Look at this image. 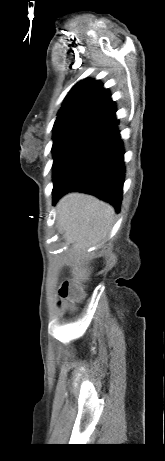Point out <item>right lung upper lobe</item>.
<instances>
[{
  "label": "right lung upper lobe",
  "instance_id": "1",
  "mask_svg": "<svg viewBox=\"0 0 165 461\" xmlns=\"http://www.w3.org/2000/svg\"><path fill=\"white\" fill-rule=\"evenodd\" d=\"M115 112L116 105L108 89L99 80L84 79L69 91L57 119L91 115L110 122L115 119Z\"/></svg>",
  "mask_w": 165,
  "mask_h": 461
}]
</instances>
